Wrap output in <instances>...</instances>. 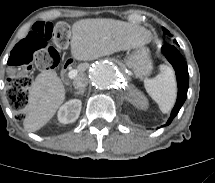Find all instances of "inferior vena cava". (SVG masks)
Segmentation results:
<instances>
[{
  "instance_id": "obj_1",
  "label": "inferior vena cava",
  "mask_w": 215,
  "mask_h": 183,
  "mask_svg": "<svg viewBox=\"0 0 215 183\" xmlns=\"http://www.w3.org/2000/svg\"><path fill=\"white\" fill-rule=\"evenodd\" d=\"M88 84V78L86 75L81 74L73 81L74 88L77 90L84 89Z\"/></svg>"
}]
</instances>
